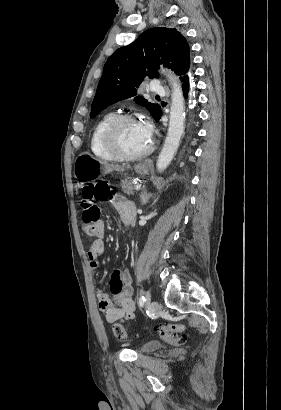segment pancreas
Segmentation results:
<instances>
[{
  "label": "pancreas",
  "mask_w": 281,
  "mask_h": 410,
  "mask_svg": "<svg viewBox=\"0 0 281 410\" xmlns=\"http://www.w3.org/2000/svg\"><path fill=\"white\" fill-rule=\"evenodd\" d=\"M121 187L127 195H133L134 194V187H135V182L131 178H127L121 181Z\"/></svg>",
  "instance_id": "1"
}]
</instances>
